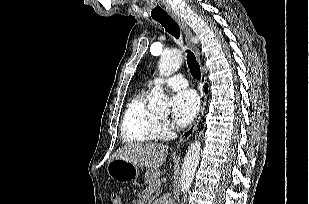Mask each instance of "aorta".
<instances>
[{
    "label": "aorta",
    "instance_id": "762f6f07",
    "mask_svg": "<svg viewBox=\"0 0 309 204\" xmlns=\"http://www.w3.org/2000/svg\"><path fill=\"white\" fill-rule=\"evenodd\" d=\"M183 62L182 52L178 49H171L164 51L159 60L158 69L161 76L168 77L175 73ZM149 109L154 112H168L170 110V103L160 86H156L152 90V97L150 98ZM201 151V143L194 141L186 152L184 163L182 166L181 175V192L185 193L191 187L194 179L197 166L199 164Z\"/></svg>",
    "mask_w": 309,
    "mask_h": 204
}]
</instances>
